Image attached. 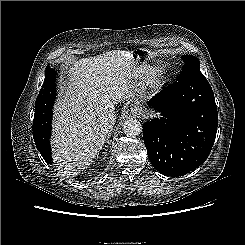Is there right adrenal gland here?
Masks as SVG:
<instances>
[{
	"label": "right adrenal gland",
	"mask_w": 245,
	"mask_h": 245,
	"mask_svg": "<svg viewBox=\"0 0 245 245\" xmlns=\"http://www.w3.org/2000/svg\"><path fill=\"white\" fill-rule=\"evenodd\" d=\"M106 142L110 143V133L107 135V139H106Z\"/></svg>",
	"instance_id": "2a0ac1e0"
}]
</instances>
